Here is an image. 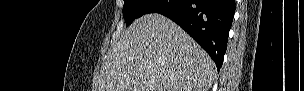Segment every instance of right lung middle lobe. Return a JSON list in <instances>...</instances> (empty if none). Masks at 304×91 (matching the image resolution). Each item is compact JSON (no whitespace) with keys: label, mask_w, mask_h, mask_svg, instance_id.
<instances>
[{"label":"right lung middle lobe","mask_w":304,"mask_h":91,"mask_svg":"<svg viewBox=\"0 0 304 91\" xmlns=\"http://www.w3.org/2000/svg\"><path fill=\"white\" fill-rule=\"evenodd\" d=\"M158 0H124L123 18L129 26L136 18L149 13Z\"/></svg>","instance_id":"dd1d6c3e"}]
</instances>
